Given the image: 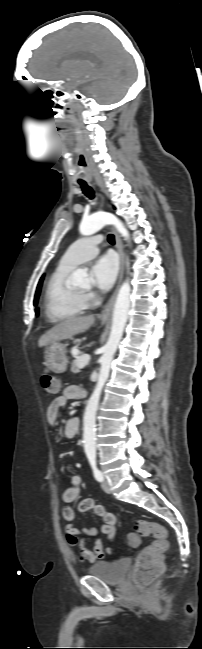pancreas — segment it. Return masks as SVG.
I'll list each match as a JSON object with an SVG mask.
<instances>
[{
	"label": "pancreas",
	"mask_w": 202,
	"mask_h": 649,
	"mask_svg": "<svg viewBox=\"0 0 202 649\" xmlns=\"http://www.w3.org/2000/svg\"><path fill=\"white\" fill-rule=\"evenodd\" d=\"M80 370H81V369H80L79 366H78V359H76V360H74V361L72 362L71 372L77 374V373L80 372Z\"/></svg>",
	"instance_id": "1"
}]
</instances>
